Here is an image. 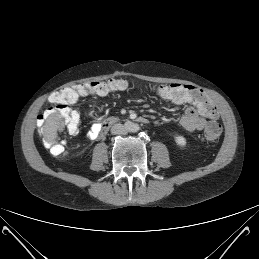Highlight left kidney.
<instances>
[{"label": "left kidney", "mask_w": 259, "mask_h": 259, "mask_svg": "<svg viewBox=\"0 0 259 259\" xmlns=\"http://www.w3.org/2000/svg\"><path fill=\"white\" fill-rule=\"evenodd\" d=\"M175 142L177 143V145H179L180 147H185L186 146V139L183 136H176L175 137Z\"/></svg>", "instance_id": "5707ae66"}]
</instances>
